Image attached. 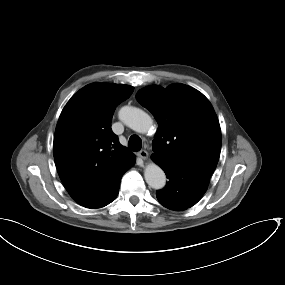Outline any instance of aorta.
I'll return each mask as SVG.
<instances>
[{
    "instance_id": "762f6f07",
    "label": "aorta",
    "mask_w": 285,
    "mask_h": 285,
    "mask_svg": "<svg viewBox=\"0 0 285 285\" xmlns=\"http://www.w3.org/2000/svg\"><path fill=\"white\" fill-rule=\"evenodd\" d=\"M119 119L138 133H147L153 126L151 117L136 107H122L119 111ZM144 177L147 184L153 189H162L166 184L164 171L155 163H150L145 167Z\"/></svg>"
}]
</instances>
